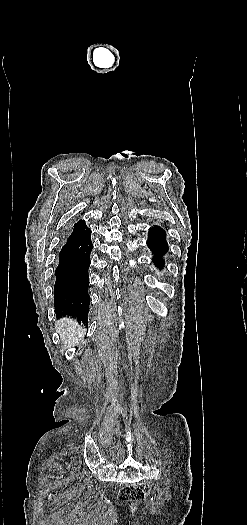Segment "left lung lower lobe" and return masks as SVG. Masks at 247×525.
I'll return each instance as SVG.
<instances>
[{
  "instance_id": "obj_1",
  "label": "left lung lower lobe",
  "mask_w": 247,
  "mask_h": 525,
  "mask_svg": "<svg viewBox=\"0 0 247 525\" xmlns=\"http://www.w3.org/2000/svg\"><path fill=\"white\" fill-rule=\"evenodd\" d=\"M166 232L159 226L150 228L147 246L153 252V263L160 269L164 266L162 256L168 251V244L166 242Z\"/></svg>"
}]
</instances>
